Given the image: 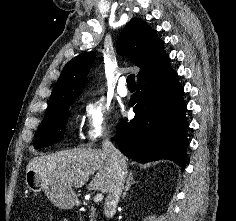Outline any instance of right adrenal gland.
Here are the masks:
<instances>
[{"instance_id": "obj_1", "label": "right adrenal gland", "mask_w": 236, "mask_h": 221, "mask_svg": "<svg viewBox=\"0 0 236 221\" xmlns=\"http://www.w3.org/2000/svg\"><path fill=\"white\" fill-rule=\"evenodd\" d=\"M136 181L134 180L132 172L129 174V176L126 179V184L124 188V192L122 194V199L125 198L127 191L130 189L131 185L134 184Z\"/></svg>"}]
</instances>
